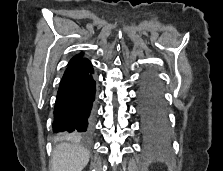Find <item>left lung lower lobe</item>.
I'll use <instances>...</instances> for the list:
<instances>
[{
  "label": "left lung lower lobe",
  "instance_id": "0a47b994",
  "mask_svg": "<svg viewBox=\"0 0 223 171\" xmlns=\"http://www.w3.org/2000/svg\"><path fill=\"white\" fill-rule=\"evenodd\" d=\"M137 100L138 116L144 139L149 143L167 140L169 125L160 90L152 75L147 74L140 80Z\"/></svg>",
  "mask_w": 223,
  "mask_h": 171
}]
</instances>
